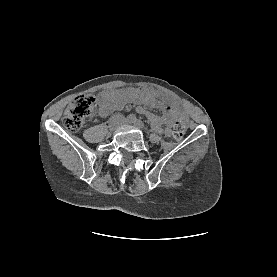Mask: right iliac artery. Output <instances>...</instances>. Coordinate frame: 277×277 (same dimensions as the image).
I'll return each mask as SVG.
<instances>
[{"mask_svg": "<svg viewBox=\"0 0 277 277\" xmlns=\"http://www.w3.org/2000/svg\"><path fill=\"white\" fill-rule=\"evenodd\" d=\"M127 121H128L129 123H134V122L136 121V117H135L134 115H129V116L127 117Z\"/></svg>", "mask_w": 277, "mask_h": 277, "instance_id": "1", "label": "right iliac artery"}]
</instances>
